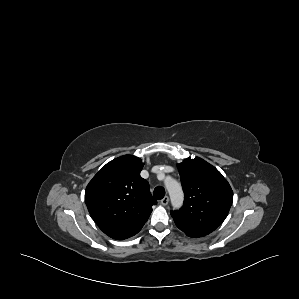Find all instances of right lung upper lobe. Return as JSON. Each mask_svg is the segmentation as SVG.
<instances>
[{
  "label": "right lung upper lobe",
  "mask_w": 299,
  "mask_h": 299,
  "mask_svg": "<svg viewBox=\"0 0 299 299\" xmlns=\"http://www.w3.org/2000/svg\"><path fill=\"white\" fill-rule=\"evenodd\" d=\"M143 166L136 156H121L107 163L87 185L89 213L113 239L124 240L137 234L156 204L148 182L140 176Z\"/></svg>",
  "instance_id": "right-lung-upper-lobe-1"
}]
</instances>
